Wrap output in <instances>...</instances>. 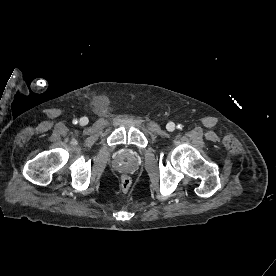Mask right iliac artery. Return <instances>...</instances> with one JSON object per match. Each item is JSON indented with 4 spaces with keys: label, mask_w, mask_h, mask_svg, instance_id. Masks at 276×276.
I'll return each mask as SVG.
<instances>
[{
    "label": "right iliac artery",
    "mask_w": 276,
    "mask_h": 276,
    "mask_svg": "<svg viewBox=\"0 0 276 276\" xmlns=\"http://www.w3.org/2000/svg\"><path fill=\"white\" fill-rule=\"evenodd\" d=\"M72 122H73V124H77V123H78V120H77V119H74Z\"/></svg>",
    "instance_id": "right-iliac-artery-1"
}]
</instances>
